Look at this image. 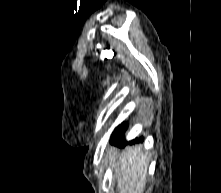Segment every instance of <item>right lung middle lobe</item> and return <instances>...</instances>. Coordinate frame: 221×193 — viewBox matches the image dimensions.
Returning <instances> with one entry per match:
<instances>
[{
	"label": "right lung middle lobe",
	"instance_id": "dd1d6c3e",
	"mask_svg": "<svg viewBox=\"0 0 221 193\" xmlns=\"http://www.w3.org/2000/svg\"><path fill=\"white\" fill-rule=\"evenodd\" d=\"M126 130V126L124 124H121L118 128L115 129L114 133H113V137L111 138V141H114L116 139H119L121 137H123V133Z\"/></svg>",
	"mask_w": 221,
	"mask_h": 193
}]
</instances>
